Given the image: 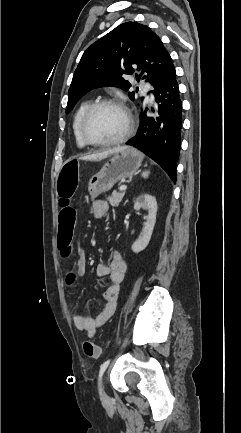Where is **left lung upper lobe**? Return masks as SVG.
<instances>
[{
  "label": "left lung upper lobe",
  "mask_w": 241,
  "mask_h": 433,
  "mask_svg": "<svg viewBox=\"0 0 241 433\" xmlns=\"http://www.w3.org/2000/svg\"><path fill=\"white\" fill-rule=\"evenodd\" d=\"M171 64L169 53L150 28L136 22L123 23L84 52L69 88L66 112L93 88L116 86L127 91L131 84L122 76L133 74L135 65L154 87ZM136 76L138 80L141 77ZM129 97L134 100V92Z\"/></svg>",
  "instance_id": "left-lung-upper-lobe-1"
}]
</instances>
